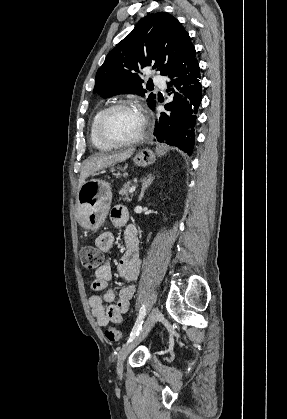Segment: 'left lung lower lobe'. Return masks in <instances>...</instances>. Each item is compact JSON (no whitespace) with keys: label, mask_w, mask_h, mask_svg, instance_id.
Wrapping results in <instances>:
<instances>
[{"label":"left lung lower lobe","mask_w":287,"mask_h":419,"mask_svg":"<svg viewBox=\"0 0 287 419\" xmlns=\"http://www.w3.org/2000/svg\"><path fill=\"white\" fill-rule=\"evenodd\" d=\"M167 92L173 101L165 105L167 112H162L156 121L154 135L156 140L177 146L191 154L195 141L194 127L198 106L202 99L200 70L193 59L183 70L170 76ZM153 110L155 104L151 107Z\"/></svg>","instance_id":"0a47b994"}]
</instances>
